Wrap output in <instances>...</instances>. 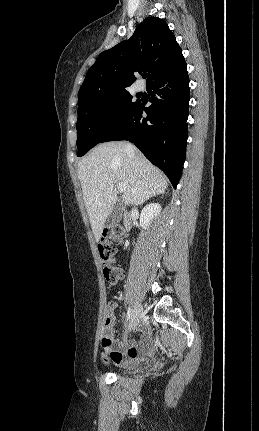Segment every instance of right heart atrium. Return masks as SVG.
I'll list each match as a JSON object with an SVG mask.
<instances>
[{"label": "right heart atrium", "instance_id": "d8ad5b80", "mask_svg": "<svg viewBox=\"0 0 259 431\" xmlns=\"http://www.w3.org/2000/svg\"><path fill=\"white\" fill-rule=\"evenodd\" d=\"M116 112V106L113 104L108 105V114L112 116Z\"/></svg>", "mask_w": 259, "mask_h": 431}]
</instances>
